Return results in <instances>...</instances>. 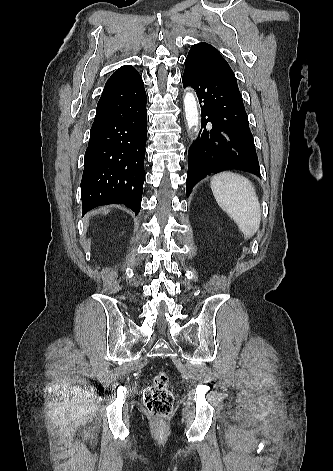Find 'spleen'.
Segmentation results:
<instances>
[{
    "mask_svg": "<svg viewBox=\"0 0 333 471\" xmlns=\"http://www.w3.org/2000/svg\"><path fill=\"white\" fill-rule=\"evenodd\" d=\"M211 190L244 237L254 236L260 227L261 207L250 180L237 173L222 172L211 179Z\"/></svg>",
    "mask_w": 333,
    "mask_h": 471,
    "instance_id": "spleen-1",
    "label": "spleen"
}]
</instances>
